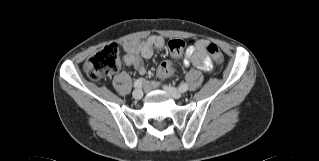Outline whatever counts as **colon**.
<instances>
[{
  "label": "colon",
  "mask_w": 319,
  "mask_h": 161,
  "mask_svg": "<svg viewBox=\"0 0 319 161\" xmlns=\"http://www.w3.org/2000/svg\"><path fill=\"white\" fill-rule=\"evenodd\" d=\"M186 45L190 46L191 43L172 40L168 42V49L172 56H177L181 49ZM207 51L218 64L223 63L222 52L215 43H209ZM120 65L121 59L118 54L117 46L108 45L86 61L84 70L91 79L99 80L111 75L119 69ZM167 67L168 64H163L160 70L162 71Z\"/></svg>",
  "instance_id": "colon-1"
}]
</instances>
